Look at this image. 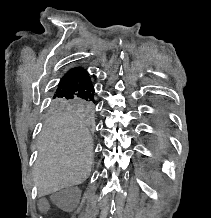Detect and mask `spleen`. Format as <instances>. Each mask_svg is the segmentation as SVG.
<instances>
[{
  "label": "spleen",
  "instance_id": "obj_1",
  "mask_svg": "<svg viewBox=\"0 0 211 218\" xmlns=\"http://www.w3.org/2000/svg\"><path fill=\"white\" fill-rule=\"evenodd\" d=\"M156 180H160L159 174H156Z\"/></svg>",
  "mask_w": 211,
  "mask_h": 218
}]
</instances>
